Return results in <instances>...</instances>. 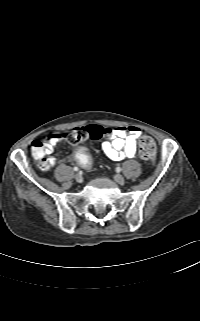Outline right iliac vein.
I'll return each mask as SVG.
<instances>
[{
	"instance_id": "right-iliac-vein-1",
	"label": "right iliac vein",
	"mask_w": 200,
	"mask_h": 321,
	"mask_svg": "<svg viewBox=\"0 0 200 321\" xmlns=\"http://www.w3.org/2000/svg\"><path fill=\"white\" fill-rule=\"evenodd\" d=\"M74 178L79 183L83 181V177L79 173L75 174Z\"/></svg>"
}]
</instances>
